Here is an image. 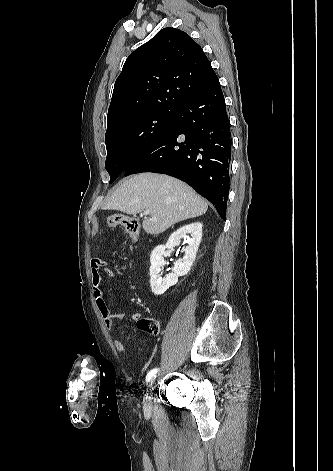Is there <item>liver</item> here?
<instances>
[{
  "label": "liver",
  "mask_w": 333,
  "mask_h": 471,
  "mask_svg": "<svg viewBox=\"0 0 333 471\" xmlns=\"http://www.w3.org/2000/svg\"><path fill=\"white\" fill-rule=\"evenodd\" d=\"M105 210L135 215L149 211L142 223L157 235L170 226L203 215L207 203L186 183L168 175L140 173L123 182L107 199Z\"/></svg>",
  "instance_id": "obj_1"
}]
</instances>
